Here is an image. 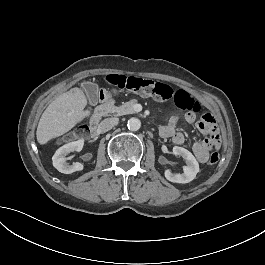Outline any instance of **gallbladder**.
Segmentation results:
<instances>
[{
	"label": "gallbladder",
	"mask_w": 265,
	"mask_h": 265,
	"mask_svg": "<svg viewBox=\"0 0 265 265\" xmlns=\"http://www.w3.org/2000/svg\"><path fill=\"white\" fill-rule=\"evenodd\" d=\"M81 88H83L90 98L92 105H96L98 102V85L86 82L81 83Z\"/></svg>",
	"instance_id": "1"
}]
</instances>
